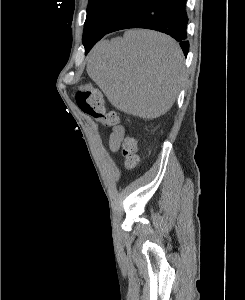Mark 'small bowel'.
<instances>
[{"instance_id":"obj_1","label":"small bowel","mask_w":245,"mask_h":300,"mask_svg":"<svg viewBox=\"0 0 245 300\" xmlns=\"http://www.w3.org/2000/svg\"><path fill=\"white\" fill-rule=\"evenodd\" d=\"M124 135L125 129L122 125L112 127V130L108 135V145L111 152L116 153L119 151Z\"/></svg>"}]
</instances>
